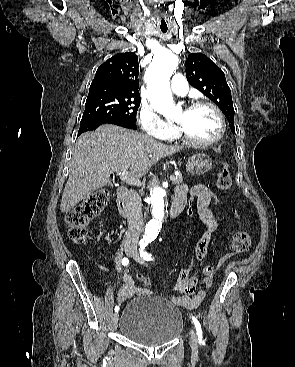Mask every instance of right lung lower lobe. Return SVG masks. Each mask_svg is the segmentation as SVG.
I'll list each match as a JSON object with an SVG mask.
<instances>
[{"label":"right lung lower lobe","instance_id":"98d812e1","mask_svg":"<svg viewBox=\"0 0 295 367\" xmlns=\"http://www.w3.org/2000/svg\"><path fill=\"white\" fill-rule=\"evenodd\" d=\"M102 124H114V125H118L124 128L134 129V130L137 128L134 121L116 119V120H111V121L93 122V123L86 124L84 126H80L78 135L86 131L95 130L98 126Z\"/></svg>","mask_w":295,"mask_h":367}]
</instances>
